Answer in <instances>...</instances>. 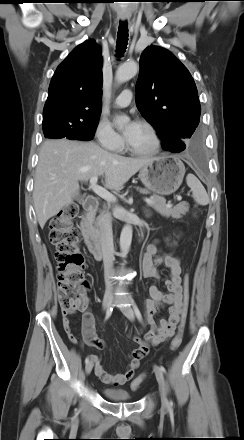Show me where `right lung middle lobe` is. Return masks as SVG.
I'll return each mask as SVG.
<instances>
[{
	"instance_id": "obj_1",
	"label": "right lung middle lobe",
	"mask_w": 244,
	"mask_h": 440,
	"mask_svg": "<svg viewBox=\"0 0 244 440\" xmlns=\"http://www.w3.org/2000/svg\"><path fill=\"white\" fill-rule=\"evenodd\" d=\"M98 121L87 124H77L72 121L48 120L43 122V133L46 138L60 139L66 137L71 140H91L94 137Z\"/></svg>"
}]
</instances>
